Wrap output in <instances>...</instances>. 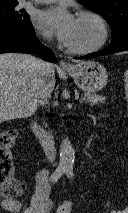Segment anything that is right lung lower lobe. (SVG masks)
Wrapping results in <instances>:
<instances>
[{
    "label": "right lung lower lobe",
    "mask_w": 128,
    "mask_h": 213,
    "mask_svg": "<svg viewBox=\"0 0 128 213\" xmlns=\"http://www.w3.org/2000/svg\"><path fill=\"white\" fill-rule=\"evenodd\" d=\"M37 53L50 61L55 60L54 53L43 46L32 25L16 29H0V53Z\"/></svg>",
    "instance_id": "obj_1"
}]
</instances>
